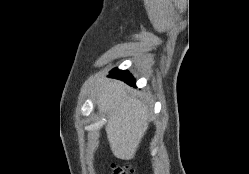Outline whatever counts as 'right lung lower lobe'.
<instances>
[{"label": "right lung lower lobe", "mask_w": 249, "mask_h": 174, "mask_svg": "<svg viewBox=\"0 0 249 174\" xmlns=\"http://www.w3.org/2000/svg\"><path fill=\"white\" fill-rule=\"evenodd\" d=\"M109 76L112 78L120 79L131 86H135L134 77L126 70L122 71L115 68L110 72Z\"/></svg>", "instance_id": "1"}]
</instances>
